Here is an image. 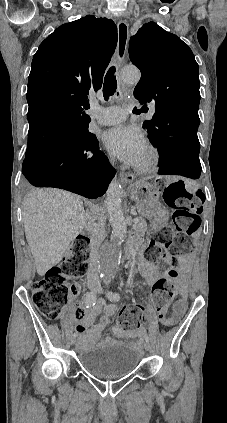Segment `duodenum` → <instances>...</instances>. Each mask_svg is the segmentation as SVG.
<instances>
[{
	"label": "duodenum",
	"instance_id": "410a0bca",
	"mask_svg": "<svg viewBox=\"0 0 227 423\" xmlns=\"http://www.w3.org/2000/svg\"><path fill=\"white\" fill-rule=\"evenodd\" d=\"M128 249L131 251V253H132V255L133 256H136L137 255V247H135L133 244H130L129 246H128Z\"/></svg>",
	"mask_w": 227,
	"mask_h": 423
}]
</instances>
